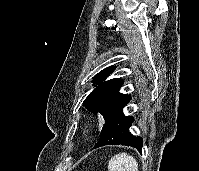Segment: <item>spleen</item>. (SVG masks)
Wrapping results in <instances>:
<instances>
[{
  "instance_id": "spleen-1",
  "label": "spleen",
  "mask_w": 199,
  "mask_h": 171,
  "mask_svg": "<svg viewBox=\"0 0 199 171\" xmlns=\"http://www.w3.org/2000/svg\"><path fill=\"white\" fill-rule=\"evenodd\" d=\"M108 171H138V163L133 156L119 153L109 160Z\"/></svg>"
}]
</instances>
